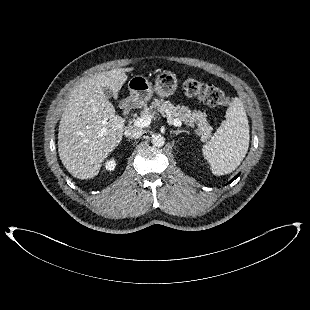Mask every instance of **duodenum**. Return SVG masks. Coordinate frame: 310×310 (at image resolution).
Instances as JSON below:
<instances>
[{
	"mask_svg": "<svg viewBox=\"0 0 310 310\" xmlns=\"http://www.w3.org/2000/svg\"><path fill=\"white\" fill-rule=\"evenodd\" d=\"M121 111L123 112V114H128L130 112V104L128 101L122 102Z\"/></svg>",
	"mask_w": 310,
	"mask_h": 310,
	"instance_id": "1",
	"label": "duodenum"
}]
</instances>
